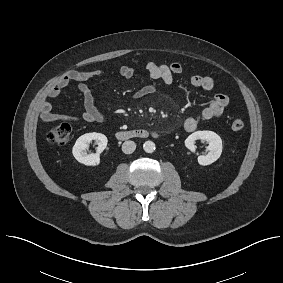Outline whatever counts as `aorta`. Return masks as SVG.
Wrapping results in <instances>:
<instances>
[{
	"label": "aorta",
	"mask_w": 283,
	"mask_h": 283,
	"mask_svg": "<svg viewBox=\"0 0 283 283\" xmlns=\"http://www.w3.org/2000/svg\"><path fill=\"white\" fill-rule=\"evenodd\" d=\"M143 149L146 153H153L155 151V143L152 141H146L143 144Z\"/></svg>",
	"instance_id": "obj_1"
}]
</instances>
